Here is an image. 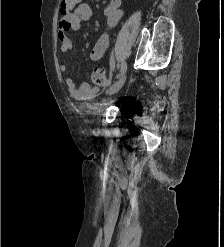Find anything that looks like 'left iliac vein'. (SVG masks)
I'll use <instances>...</instances> for the list:
<instances>
[{
    "instance_id": "4c4485c4",
    "label": "left iliac vein",
    "mask_w": 224,
    "mask_h": 247,
    "mask_svg": "<svg viewBox=\"0 0 224 247\" xmlns=\"http://www.w3.org/2000/svg\"><path fill=\"white\" fill-rule=\"evenodd\" d=\"M126 78H127V75H126V73H124L118 79V81L109 89V91H108L109 95H113V94L117 93L122 88V86L124 85Z\"/></svg>"
}]
</instances>
